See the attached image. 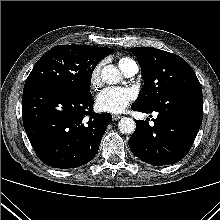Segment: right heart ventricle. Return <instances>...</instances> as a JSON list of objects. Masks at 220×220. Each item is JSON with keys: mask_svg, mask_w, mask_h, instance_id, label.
<instances>
[{"mask_svg": "<svg viewBox=\"0 0 220 220\" xmlns=\"http://www.w3.org/2000/svg\"><path fill=\"white\" fill-rule=\"evenodd\" d=\"M134 61L128 57H122L119 59V67L121 68V70L124 72L128 66L133 63Z\"/></svg>", "mask_w": 220, "mask_h": 220, "instance_id": "obj_1", "label": "right heart ventricle"}]
</instances>
